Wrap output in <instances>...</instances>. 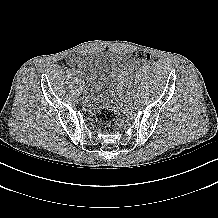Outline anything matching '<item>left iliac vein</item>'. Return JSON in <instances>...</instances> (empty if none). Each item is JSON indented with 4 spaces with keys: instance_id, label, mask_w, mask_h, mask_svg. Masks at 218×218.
Here are the masks:
<instances>
[{
    "instance_id": "obj_1",
    "label": "left iliac vein",
    "mask_w": 218,
    "mask_h": 218,
    "mask_svg": "<svg viewBox=\"0 0 218 218\" xmlns=\"http://www.w3.org/2000/svg\"><path fill=\"white\" fill-rule=\"evenodd\" d=\"M128 101H129V102H133V101H134V98H133V97H129V98H128Z\"/></svg>"
}]
</instances>
